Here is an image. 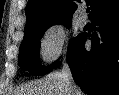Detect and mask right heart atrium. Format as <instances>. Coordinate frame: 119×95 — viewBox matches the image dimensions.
Returning a JSON list of instances; mask_svg holds the SVG:
<instances>
[{"label": "right heart atrium", "mask_w": 119, "mask_h": 95, "mask_svg": "<svg viewBox=\"0 0 119 95\" xmlns=\"http://www.w3.org/2000/svg\"><path fill=\"white\" fill-rule=\"evenodd\" d=\"M67 40L66 29L62 24L48 27L40 39V54L47 64L56 62L64 51Z\"/></svg>", "instance_id": "d8ad5b80"}]
</instances>
